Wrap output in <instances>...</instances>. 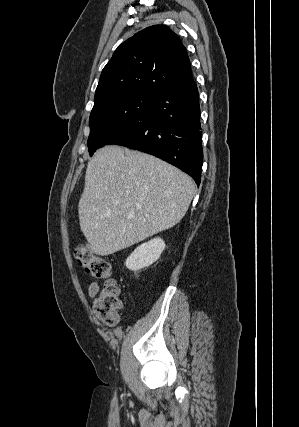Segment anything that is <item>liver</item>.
I'll return each mask as SVG.
<instances>
[{
    "instance_id": "obj_1",
    "label": "liver",
    "mask_w": 299,
    "mask_h": 427,
    "mask_svg": "<svg viewBox=\"0 0 299 427\" xmlns=\"http://www.w3.org/2000/svg\"><path fill=\"white\" fill-rule=\"evenodd\" d=\"M194 192L192 179L167 162L104 146L88 162L78 205L89 250L107 256L173 227Z\"/></svg>"
}]
</instances>
